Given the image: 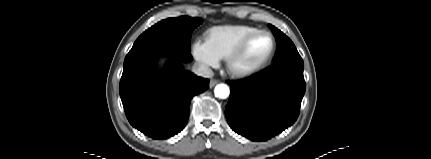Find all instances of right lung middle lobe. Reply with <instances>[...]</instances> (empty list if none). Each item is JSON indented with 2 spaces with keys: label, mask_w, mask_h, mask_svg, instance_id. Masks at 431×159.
<instances>
[{
  "label": "right lung middle lobe",
  "mask_w": 431,
  "mask_h": 159,
  "mask_svg": "<svg viewBox=\"0 0 431 159\" xmlns=\"http://www.w3.org/2000/svg\"><path fill=\"white\" fill-rule=\"evenodd\" d=\"M201 23V18L187 16L162 20L141 34L133 47L149 42H169L190 50L191 34Z\"/></svg>",
  "instance_id": "obj_1"
}]
</instances>
